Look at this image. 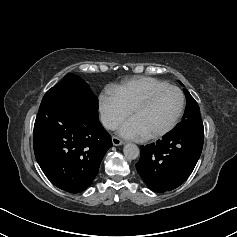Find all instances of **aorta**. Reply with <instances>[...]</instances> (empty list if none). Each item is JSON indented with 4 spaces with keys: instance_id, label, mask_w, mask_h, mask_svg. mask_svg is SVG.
<instances>
[{
    "instance_id": "762f6f07",
    "label": "aorta",
    "mask_w": 237,
    "mask_h": 237,
    "mask_svg": "<svg viewBox=\"0 0 237 237\" xmlns=\"http://www.w3.org/2000/svg\"><path fill=\"white\" fill-rule=\"evenodd\" d=\"M123 152L125 157L129 160L136 159L140 154L138 146L133 143L126 144L123 148Z\"/></svg>"
}]
</instances>
